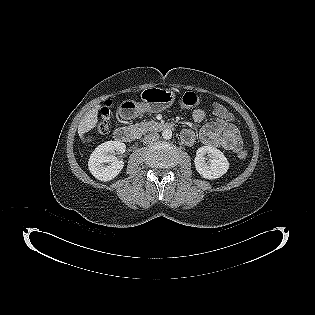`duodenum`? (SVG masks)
Masks as SVG:
<instances>
[{"mask_svg":"<svg viewBox=\"0 0 315 315\" xmlns=\"http://www.w3.org/2000/svg\"><path fill=\"white\" fill-rule=\"evenodd\" d=\"M149 128L157 131L173 130L174 125L168 122L157 121L149 124ZM136 137L137 133L135 132V130L125 126L117 128L114 132V138L118 142H131L135 140Z\"/></svg>","mask_w":315,"mask_h":315,"instance_id":"410a0bca","label":"duodenum"}]
</instances>
